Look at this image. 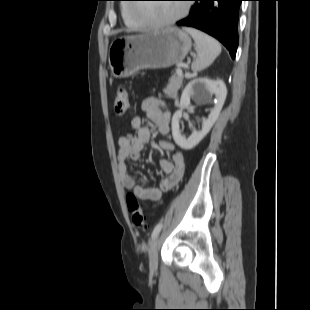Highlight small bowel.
Returning a JSON list of instances; mask_svg holds the SVG:
<instances>
[{
  "mask_svg": "<svg viewBox=\"0 0 310 310\" xmlns=\"http://www.w3.org/2000/svg\"><path fill=\"white\" fill-rule=\"evenodd\" d=\"M142 110L154 123L160 134L165 136L169 132V112L164 108L162 100L155 96L146 97L142 102ZM134 133H126L119 138L117 152V168L122 186L132 191L141 200L157 201L163 193L172 190L182 180L185 173V159L181 152L175 150V145L166 140L159 141L162 151L171 152V159L162 158L160 167L166 177L160 182L159 187H143L137 183L136 177L128 172V160L139 161L145 143L151 138V130L143 124L139 115H134L130 120Z\"/></svg>",
  "mask_w": 310,
  "mask_h": 310,
  "instance_id": "1",
  "label": "small bowel"
}]
</instances>
